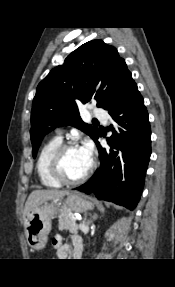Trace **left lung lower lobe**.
Wrapping results in <instances>:
<instances>
[{
	"label": "left lung lower lobe",
	"instance_id": "obj_1",
	"mask_svg": "<svg viewBox=\"0 0 175 287\" xmlns=\"http://www.w3.org/2000/svg\"><path fill=\"white\" fill-rule=\"evenodd\" d=\"M109 114L122 126L120 134L115 132L107 139L110 150L102 148L98 139L95 141L99 168L76 189L133 210L140 199L151 155L148 113L136 84L121 106Z\"/></svg>",
	"mask_w": 175,
	"mask_h": 287
}]
</instances>
